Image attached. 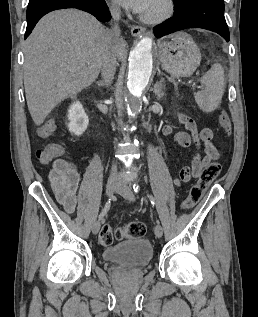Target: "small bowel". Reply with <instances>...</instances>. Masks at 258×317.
Listing matches in <instances>:
<instances>
[{"label": "small bowel", "mask_w": 258, "mask_h": 317, "mask_svg": "<svg viewBox=\"0 0 258 317\" xmlns=\"http://www.w3.org/2000/svg\"><path fill=\"white\" fill-rule=\"evenodd\" d=\"M177 119L184 125L187 132L180 131L174 134L175 143L187 148L195 145L199 151L194 156L189 166H184L175 178V185L179 186L184 182L200 176L203 168L212 161L219 158L220 154L213 141V131L209 128L198 130L195 121L187 115H177ZM55 130V122L49 119L38 128V135L47 138ZM162 134L169 137L172 134V127L165 125ZM50 183L53 193L58 202L68 213H73L78 202V190L80 186V175L74 163L65 159H56L50 171Z\"/></svg>", "instance_id": "c3829d8e"}]
</instances>
